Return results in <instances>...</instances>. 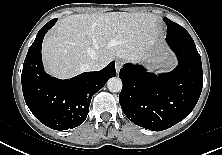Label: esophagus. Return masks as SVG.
<instances>
[{"label": "esophagus", "mask_w": 222, "mask_h": 155, "mask_svg": "<svg viewBox=\"0 0 222 155\" xmlns=\"http://www.w3.org/2000/svg\"><path fill=\"white\" fill-rule=\"evenodd\" d=\"M115 68L117 73H119L120 69L122 68V63L120 61H116Z\"/></svg>", "instance_id": "obj_1"}]
</instances>
